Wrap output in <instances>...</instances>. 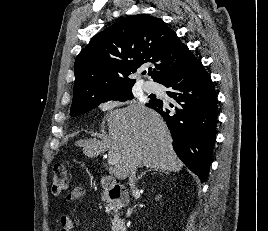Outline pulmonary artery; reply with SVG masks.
<instances>
[{
	"instance_id": "obj_1",
	"label": "pulmonary artery",
	"mask_w": 268,
	"mask_h": 231,
	"mask_svg": "<svg viewBox=\"0 0 268 231\" xmlns=\"http://www.w3.org/2000/svg\"><path fill=\"white\" fill-rule=\"evenodd\" d=\"M143 89L146 92H153V91H155V87L152 84H150V83H145L144 86H143Z\"/></svg>"
}]
</instances>
